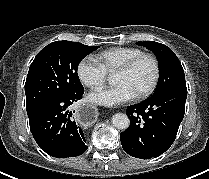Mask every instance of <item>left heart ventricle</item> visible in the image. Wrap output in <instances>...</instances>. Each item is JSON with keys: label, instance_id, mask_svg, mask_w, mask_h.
Returning a JSON list of instances; mask_svg holds the SVG:
<instances>
[{"label": "left heart ventricle", "instance_id": "left-heart-ventricle-1", "mask_svg": "<svg viewBox=\"0 0 209 179\" xmlns=\"http://www.w3.org/2000/svg\"><path fill=\"white\" fill-rule=\"evenodd\" d=\"M153 76V63L149 59H143L130 72L116 73L114 83L125 84L137 95L151 84Z\"/></svg>", "mask_w": 209, "mask_h": 179}]
</instances>
